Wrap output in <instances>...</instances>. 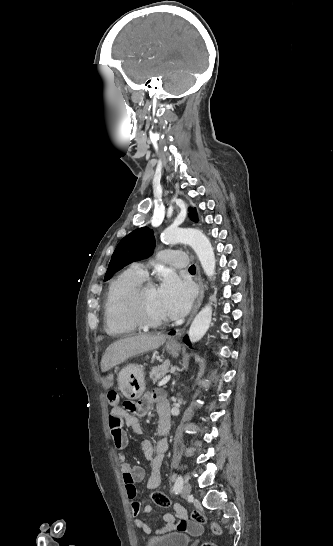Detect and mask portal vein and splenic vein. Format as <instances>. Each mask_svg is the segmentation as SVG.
<instances>
[{"instance_id": "18ae733b", "label": "portal vein and splenic vein", "mask_w": 333, "mask_h": 546, "mask_svg": "<svg viewBox=\"0 0 333 546\" xmlns=\"http://www.w3.org/2000/svg\"><path fill=\"white\" fill-rule=\"evenodd\" d=\"M171 376L168 375V376H165L159 383H158V386H163L165 385L169 380H170Z\"/></svg>"}]
</instances>
